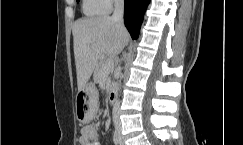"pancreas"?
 <instances>
[{"mask_svg":"<svg viewBox=\"0 0 243 145\" xmlns=\"http://www.w3.org/2000/svg\"><path fill=\"white\" fill-rule=\"evenodd\" d=\"M106 64V60H101L95 70V74H94V79L96 82H100L103 77H105L108 74H111L113 72V68L108 70L107 72H104V66Z\"/></svg>","mask_w":243,"mask_h":145,"instance_id":"obj_1","label":"pancreas"}]
</instances>
